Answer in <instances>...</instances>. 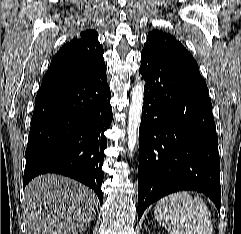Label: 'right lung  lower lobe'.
I'll use <instances>...</instances> for the list:
<instances>
[{"label":"right lung lower lobe","instance_id":"1","mask_svg":"<svg viewBox=\"0 0 241 234\" xmlns=\"http://www.w3.org/2000/svg\"><path fill=\"white\" fill-rule=\"evenodd\" d=\"M106 69L74 85L39 92L25 153L23 187L44 173H58L94 190L103 202L102 165L112 122Z\"/></svg>","mask_w":241,"mask_h":234}]
</instances>
